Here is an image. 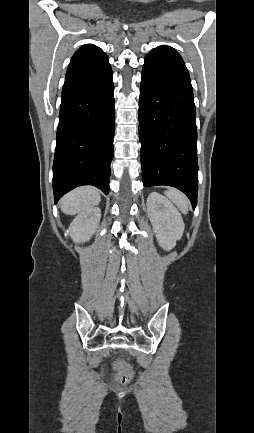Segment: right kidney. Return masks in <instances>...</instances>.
<instances>
[{"label":"right kidney","instance_id":"right-kidney-1","mask_svg":"<svg viewBox=\"0 0 254 433\" xmlns=\"http://www.w3.org/2000/svg\"><path fill=\"white\" fill-rule=\"evenodd\" d=\"M101 218L99 208H91L80 213L70 224V236L75 242H86L94 234Z\"/></svg>","mask_w":254,"mask_h":433}]
</instances>
